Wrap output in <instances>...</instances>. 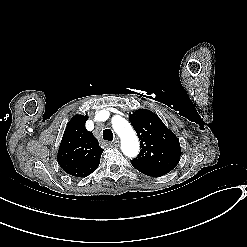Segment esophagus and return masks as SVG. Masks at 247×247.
Returning <instances> with one entry per match:
<instances>
[{"mask_svg":"<svg viewBox=\"0 0 247 247\" xmlns=\"http://www.w3.org/2000/svg\"><path fill=\"white\" fill-rule=\"evenodd\" d=\"M112 146H115V147H117L118 145H119V141L117 140V141H115L113 144H111Z\"/></svg>","mask_w":247,"mask_h":247,"instance_id":"1","label":"esophagus"}]
</instances>
